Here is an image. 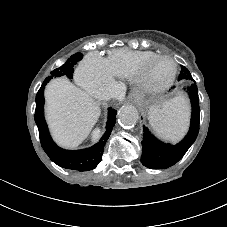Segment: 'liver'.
I'll return each mask as SVG.
<instances>
[{
	"label": "liver",
	"mask_w": 227,
	"mask_h": 227,
	"mask_svg": "<svg viewBox=\"0 0 227 227\" xmlns=\"http://www.w3.org/2000/svg\"><path fill=\"white\" fill-rule=\"evenodd\" d=\"M46 118L56 142L79 146L100 116V107L88 94L67 80H54L46 91Z\"/></svg>",
	"instance_id": "liver-1"
}]
</instances>
